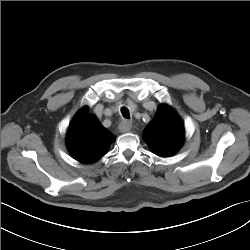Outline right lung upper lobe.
<instances>
[{
  "instance_id": "1",
  "label": "right lung upper lobe",
  "mask_w": 250,
  "mask_h": 250,
  "mask_svg": "<svg viewBox=\"0 0 250 250\" xmlns=\"http://www.w3.org/2000/svg\"><path fill=\"white\" fill-rule=\"evenodd\" d=\"M82 108L72 120L67 132V147L82 163H93L105 155L115 137L105 129L95 115Z\"/></svg>"
}]
</instances>
